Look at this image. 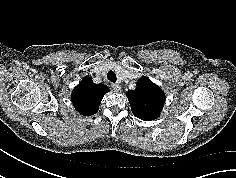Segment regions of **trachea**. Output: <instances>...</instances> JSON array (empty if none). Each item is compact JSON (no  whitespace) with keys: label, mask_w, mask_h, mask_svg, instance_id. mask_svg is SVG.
<instances>
[{"label":"trachea","mask_w":236,"mask_h":178,"mask_svg":"<svg viewBox=\"0 0 236 178\" xmlns=\"http://www.w3.org/2000/svg\"><path fill=\"white\" fill-rule=\"evenodd\" d=\"M107 78L109 81L115 83L117 80L116 74L113 71H109L107 74Z\"/></svg>","instance_id":"obj_1"}]
</instances>
